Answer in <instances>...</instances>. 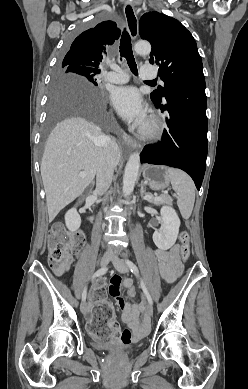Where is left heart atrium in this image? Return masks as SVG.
<instances>
[{
  "label": "left heart atrium",
  "mask_w": 248,
  "mask_h": 389,
  "mask_svg": "<svg viewBox=\"0 0 248 389\" xmlns=\"http://www.w3.org/2000/svg\"><path fill=\"white\" fill-rule=\"evenodd\" d=\"M111 101L123 119L138 126L145 124L146 109L136 88L125 86L114 89Z\"/></svg>",
  "instance_id": "left-heart-atrium-1"
}]
</instances>
